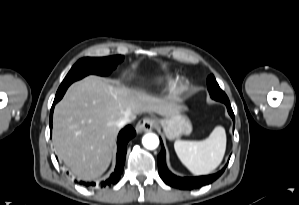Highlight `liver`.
Instances as JSON below:
<instances>
[{"label": "liver", "instance_id": "6515ba94", "mask_svg": "<svg viewBox=\"0 0 299 205\" xmlns=\"http://www.w3.org/2000/svg\"><path fill=\"white\" fill-rule=\"evenodd\" d=\"M142 112L170 117L180 112L175 102L114 86L90 75L73 83L56 105L53 142L58 158L72 175L92 180L108 168L119 131L116 122Z\"/></svg>", "mask_w": 299, "mask_h": 205}]
</instances>
